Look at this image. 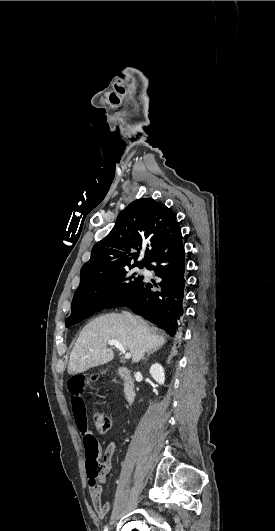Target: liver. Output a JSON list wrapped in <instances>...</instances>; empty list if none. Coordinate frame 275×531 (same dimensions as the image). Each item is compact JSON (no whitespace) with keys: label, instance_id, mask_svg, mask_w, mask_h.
Segmentation results:
<instances>
[{"label":"liver","instance_id":"obj_1","mask_svg":"<svg viewBox=\"0 0 275 531\" xmlns=\"http://www.w3.org/2000/svg\"><path fill=\"white\" fill-rule=\"evenodd\" d=\"M132 317V315H131ZM137 325L131 323L125 311L121 315L109 313L96 317L82 329L70 355L68 373L78 375L91 367L105 365L114 359L112 349H107L108 341H119L132 355L133 363H139L144 353L155 351L166 343L162 335H153L146 321L134 317ZM93 349V351H90Z\"/></svg>","mask_w":275,"mask_h":531}]
</instances>
